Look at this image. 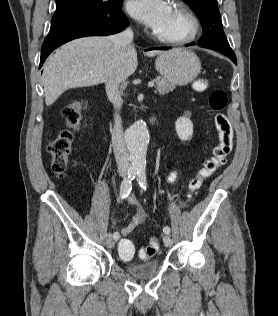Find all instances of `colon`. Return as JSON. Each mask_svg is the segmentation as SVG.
Listing matches in <instances>:
<instances>
[{
  "label": "colon",
  "instance_id": "1",
  "mask_svg": "<svg viewBox=\"0 0 278 316\" xmlns=\"http://www.w3.org/2000/svg\"><path fill=\"white\" fill-rule=\"evenodd\" d=\"M197 91L206 89L204 80L195 82ZM228 103V97L224 90L217 89L211 92L208 104L214 113V125L217 131L218 143L212 151V155L204 160L202 167L188 186V196L191 197L198 192L205 180L211 177L221 166H223L233 147V130L231 123L224 110ZM84 101L72 103L64 108L63 117L67 127L59 131L47 147L50 155V164L53 173L57 177H63L68 167L72 152V142L74 131L80 122L81 110L85 107ZM159 250V242L156 238H151L146 248L139 252L141 258H148L155 255ZM118 252L121 258L131 259L135 254L134 244L128 239H122L118 245Z\"/></svg>",
  "mask_w": 278,
  "mask_h": 316
}]
</instances>
